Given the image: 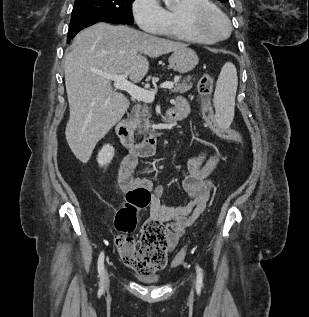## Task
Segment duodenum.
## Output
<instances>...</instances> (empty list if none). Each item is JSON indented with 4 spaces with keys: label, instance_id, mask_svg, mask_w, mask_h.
Here are the masks:
<instances>
[{
    "label": "duodenum",
    "instance_id": "410a0bca",
    "mask_svg": "<svg viewBox=\"0 0 309 317\" xmlns=\"http://www.w3.org/2000/svg\"><path fill=\"white\" fill-rule=\"evenodd\" d=\"M175 118H177V116L174 114L173 108L169 109L163 122L159 123L141 142L135 141L133 132L126 119H122L117 123L116 134L130 155L149 157L156 152L160 131L166 127L168 122L175 120Z\"/></svg>",
    "mask_w": 309,
    "mask_h": 317
}]
</instances>
